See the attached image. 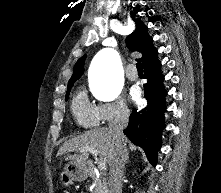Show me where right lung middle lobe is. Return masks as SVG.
<instances>
[{
	"instance_id": "right-lung-middle-lobe-1",
	"label": "right lung middle lobe",
	"mask_w": 221,
	"mask_h": 193,
	"mask_svg": "<svg viewBox=\"0 0 221 193\" xmlns=\"http://www.w3.org/2000/svg\"><path fill=\"white\" fill-rule=\"evenodd\" d=\"M71 86H72V84L68 85V90H67V93H66V100H67L68 95L70 93Z\"/></svg>"
}]
</instances>
